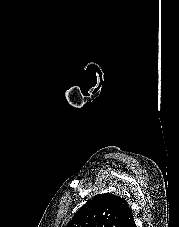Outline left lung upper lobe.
<instances>
[{
    "mask_svg": "<svg viewBox=\"0 0 179 227\" xmlns=\"http://www.w3.org/2000/svg\"><path fill=\"white\" fill-rule=\"evenodd\" d=\"M124 198L104 193L84 204L65 227H135Z\"/></svg>",
    "mask_w": 179,
    "mask_h": 227,
    "instance_id": "5c2ea615",
    "label": "left lung upper lobe"
}]
</instances>
